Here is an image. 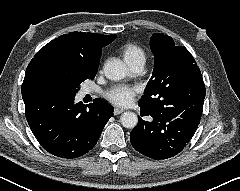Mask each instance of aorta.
Masks as SVG:
<instances>
[{"mask_svg":"<svg viewBox=\"0 0 240 191\" xmlns=\"http://www.w3.org/2000/svg\"><path fill=\"white\" fill-rule=\"evenodd\" d=\"M104 74L112 81H119L127 76L128 69L121 60L113 58L105 63ZM120 121L123 127L133 129L138 123V117L135 113L128 111L121 115Z\"/></svg>","mask_w":240,"mask_h":191,"instance_id":"aorta-1","label":"aorta"}]
</instances>
